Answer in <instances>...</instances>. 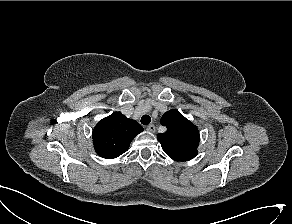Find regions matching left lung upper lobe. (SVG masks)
Listing matches in <instances>:
<instances>
[{"mask_svg": "<svg viewBox=\"0 0 292 224\" xmlns=\"http://www.w3.org/2000/svg\"><path fill=\"white\" fill-rule=\"evenodd\" d=\"M161 123L167 132L157 136L164 152L173 160L188 161L197 155L199 145L198 128L177 110L164 113Z\"/></svg>", "mask_w": 292, "mask_h": 224, "instance_id": "1", "label": "left lung upper lobe"}]
</instances>
